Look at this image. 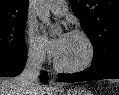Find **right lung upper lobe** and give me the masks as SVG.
Instances as JSON below:
<instances>
[{"instance_id": "obj_1", "label": "right lung upper lobe", "mask_w": 119, "mask_h": 95, "mask_svg": "<svg viewBox=\"0 0 119 95\" xmlns=\"http://www.w3.org/2000/svg\"><path fill=\"white\" fill-rule=\"evenodd\" d=\"M29 0H0V25L26 21Z\"/></svg>"}]
</instances>
